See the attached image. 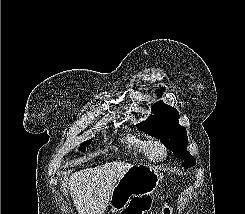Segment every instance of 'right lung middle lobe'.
I'll use <instances>...</instances> for the list:
<instances>
[{"label":"right lung middle lobe","mask_w":245,"mask_h":214,"mask_svg":"<svg viewBox=\"0 0 245 214\" xmlns=\"http://www.w3.org/2000/svg\"><path fill=\"white\" fill-rule=\"evenodd\" d=\"M90 143H91V140H88V141H86V142H83V143L81 144L80 150H81L82 152H85L86 146L89 145Z\"/></svg>","instance_id":"1"}]
</instances>
